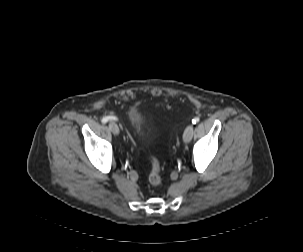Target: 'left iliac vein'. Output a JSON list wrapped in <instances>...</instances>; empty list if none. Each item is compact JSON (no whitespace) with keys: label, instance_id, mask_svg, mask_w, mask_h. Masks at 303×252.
<instances>
[{"label":"left iliac vein","instance_id":"obj_1","mask_svg":"<svg viewBox=\"0 0 303 252\" xmlns=\"http://www.w3.org/2000/svg\"><path fill=\"white\" fill-rule=\"evenodd\" d=\"M193 136V124H189L183 134L184 143H189Z\"/></svg>","mask_w":303,"mask_h":252}]
</instances>
